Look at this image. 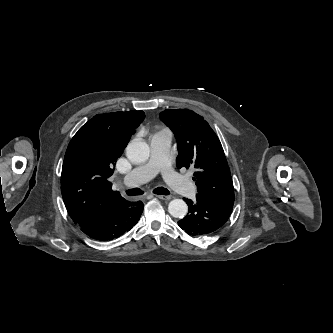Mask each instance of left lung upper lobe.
<instances>
[{
  "label": "left lung upper lobe",
  "instance_id": "1",
  "mask_svg": "<svg viewBox=\"0 0 333 333\" xmlns=\"http://www.w3.org/2000/svg\"><path fill=\"white\" fill-rule=\"evenodd\" d=\"M160 117L177 139V167L195 169L197 196L214 204L233 206L231 173L222 145L209 124L188 109H167Z\"/></svg>",
  "mask_w": 333,
  "mask_h": 333
}]
</instances>
